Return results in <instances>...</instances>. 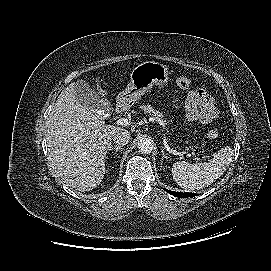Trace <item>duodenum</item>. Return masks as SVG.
I'll use <instances>...</instances> for the list:
<instances>
[{
	"label": "duodenum",
	"instance_id": "duodenum-1",
	"mask_svg": "<svg viewBox=\"0 0 271 271\" xmlns=\"http://www.w3.org/2000/svg\"><path fill=\"white\" fill-rule=\"evenodd\" d=\"M125 105L122 104V103H119L117 106H116V113H121L125 110Z\"/></svg>",
	"mask_w": 271,
	"mask_h": 271
}]
</instances>
